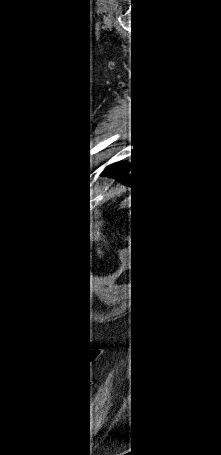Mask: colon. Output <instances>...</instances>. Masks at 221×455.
I'll return each instance as SVG.
<instances>
[{"instance_id": "obj_1", "label": "colon", "mask_w": 221, "mask_h": 455, "mask_svg": "<svg viewBox=\"0 0 221 455\" xmlns=\"http://www.w3.org/2000/svg\"><path fill=\"white\" fill-rule=\"evenodd\" d=\"M94 253L97 257L102 258L104 256V248L101 244L95 247Z\"/></svg>"}]
</instances>
